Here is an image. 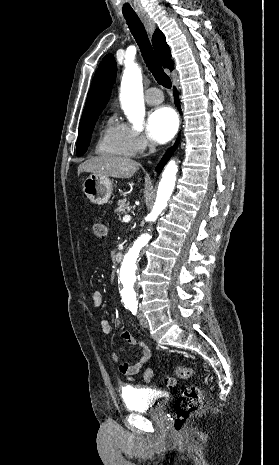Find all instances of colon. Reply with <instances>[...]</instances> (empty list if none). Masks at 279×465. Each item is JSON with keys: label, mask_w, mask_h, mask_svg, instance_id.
Segmentation results:
<instances>
[{"label": "colon", "mask_w": 279, "mask_h": 465, "mask_svg": "<svg viewBox=\"0 0 279 465\" xmlns=\"http://www.w3.org/2000/svg\"><path fill=\"white\" fill-rule=\"evenodd\" d=\"M92 234L98 240H104L107 234V226L101 220H94L91 226ZM177 377L187 380L195 375V371L191 367L176 366L174 370ZM164 383L168 387H173L176 384V379L173 376L166 375ZM202 393L199 387L189 386L178 397L175 403V418L173 428L176 432L183 431L188 418L195 413L201 406Z\"/></svg>", "instance_id": "obj_1"}]
</instances>
